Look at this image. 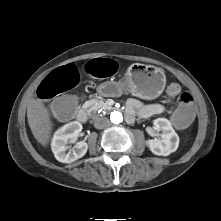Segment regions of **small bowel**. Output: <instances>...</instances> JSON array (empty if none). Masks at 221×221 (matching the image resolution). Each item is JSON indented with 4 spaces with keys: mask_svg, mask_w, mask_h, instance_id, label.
I'll list each match as a JSON object with an SVG mask.
<instances>
[{
    "mask_svg": "<svg viewBox=\"0 0 221 221\" xmlns=\"http://www.w3.org/2000/svg\"><path fill=\"white\" fill-rule=\"evenodd\" d=\"M128 110L127 114L133 116L134 111H137L139 116L143 118H148L154 115H158L164 112L165 108L161 104L152 103V104H143L142 102L131 99L128 101Z\"/></svg>",
    "mask_w": 221,
    "mask_h": 221,
    "instance_id": "small-bowel-1",
    "label": "small bowel"
}]
</instances>
